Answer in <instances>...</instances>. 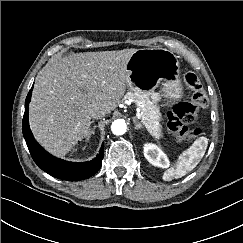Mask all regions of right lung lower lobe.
Returning a JSON list of instances; mask_svg holds the SVG:
<instances>
[{
  "label": "right lung lower lobe",
  "instance_id": "right-lung-lower-lobe-1",
  "mask_svg": "<svg viewBox=\"0 0 243 243\" xmlns=\"http://www.w3.org/2000/svg\"><path fill=\"white\" fill-rule=\"evenodd\" d=\"M32 89L33 86L29 91L25 101V113L23 117L22 127L26 144L35 163L39 166V168H41L48 174L63 180H83L91 177L96 172H98L102 165V159L104 156V145H102L99 155L92 161L84 163H74L53 157L36 142L30 130L28 121V107L32 95Z\"/></svg>",
  "mask_w": 243,
  "mask_h": 243
}]
</instances>
